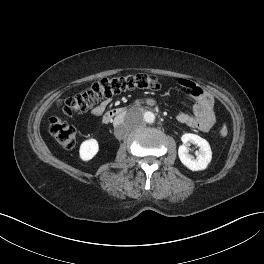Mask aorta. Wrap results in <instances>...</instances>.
<instances>
[{
	"mask_svg": "<svg viewBox=\"0 0 264 264\" xmlns=\"http://www.w3.org/2000/svg\"><path fill=\"white\" fill-rule=\"evenodd\" d=\"M142 118L146 123H153L155 121V114L151 111H146L143 113Z\"/></svg>",
	"mask_w": 264,
	"mask_h": 264,
	"instance_id": "762f6f07",
	"label": "aorta"
}]
</instances>
